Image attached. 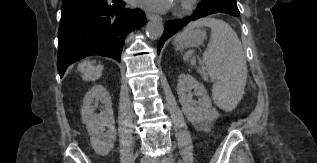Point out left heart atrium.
<instances>
[{
    "label": "left heart atrium",
    "mask_w": 317,
    "mask_h": 163,
    "mask_svg": "<svg viewBox=\"0 0 317 163\" xmlns=\"http://www.w3.org/2000/svg\"><path fill=\"white\" fill-rule=\"evenodd\" d=\"M134 1L144 7L160 10V11L168 9L172 5V2H173V0H134Z\"/></svg>",
    "instance_id": "1"
}]
</instances>
